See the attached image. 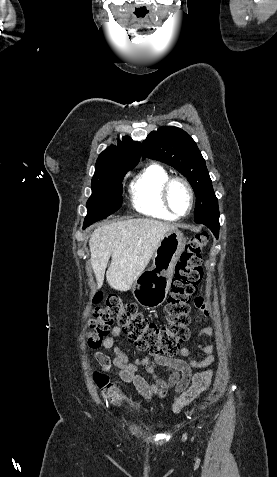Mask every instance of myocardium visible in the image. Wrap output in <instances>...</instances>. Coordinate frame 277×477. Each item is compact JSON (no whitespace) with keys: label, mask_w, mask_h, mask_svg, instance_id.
<instances>
[{"label":"myocardium","mask_w":277,"mask_h":477,"mask_svg":"<svg viewBox=\"0 0 277 477\" xmlns=\"http://www.w3.org/2000/svg\"><path fill=\"white\" fill-rule=\"evenodd\" d=\"M176 182H179V183H182L187 191H188V194H189V199H190V204H189V208H188V211L185 213V214H179L177 213L174 208L172 207L171 205V202H170V189L172 187V185ZM161 196H162V201L166 207V209L171 213L173 214L174 216H176L177 218H183V217H186L188 216L193 208H194V204H195V194H194V190H193V187L191 185V183L183 178V177H180V176H174V177H169L163 184L162 186V189H161Z\"/></svg>","instance_id":"obj_1"}]
</instances>
